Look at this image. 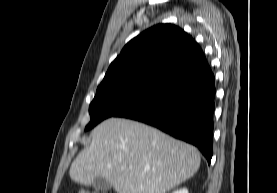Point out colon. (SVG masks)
<instances>
[{
    "instance_id": "5ec220e1",
    "label": "colon",
    "mask_w": 277,
    "mask_h": 193,
    "mask_svg": "<svg viewBox=\"0 0 277 193\" xmlns=\"http://www.w3.org/2000/svg\"><path fill=\"white\" fill-rule=\"evenodd\" d=\"M78 193H96V192H90V191H87V190H80Z\"/></svg>"
}]
</instances>
